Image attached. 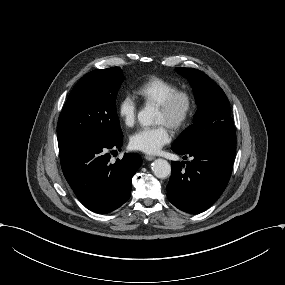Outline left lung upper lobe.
<instances>
[{"mask_svg":"<svg viewBox=\"0 0 285 285\" xmlns=\"http://www.w3.org/2000/svg\"><path fill=\"white\" fill-rule=\"evenodd\" d=\"M176 71L190 82L198 110L193 124L177 139L172 150L186 153L211 139L235 136L229 102L223 90L200 70L177 67Z\"/></svg>","mask_w":285,"mask_h":285,"instance_id":"1","label":"left lung upper lobe"}]
</instances>
